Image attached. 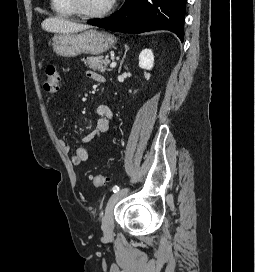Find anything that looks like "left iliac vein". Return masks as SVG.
<instances>
[{"instance_id": "left-iliac-vein-1", "label": "left iliac vein", "mask_w": 255, "mask_h": 272, "mask_svg": "<svg viewBox=\"0 0 255 272\" xmlns=\"http://www.w3.org/2000/svg\"><path fill=\"white\" fill-rule=\"evenodd\" d=\"M128 189H123L121 192H115L113 193L107 203L105 214L102 218V230L106 236H109L113 233L114 229V207L118 200L126 194Z\"/></svg>"}]
</instances>
